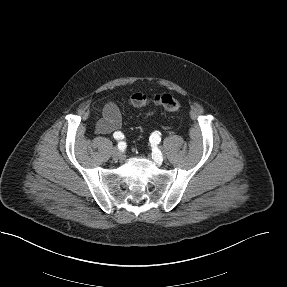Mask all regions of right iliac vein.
<instances>
[{
  "label": "right iliac vein",
  "mask_w": 287,
  "mask_h": 287,
  "mask_svg": "<svg viewBox=\"0 0 287 287\" xmlns=\"http://www.w3.org/2000/svg\"><path fill=\"white\" fill-rule=\"evenodd\" d=\"M112 157L115 160L121 159L123 157V153L118 148H114L112 150Z\"/></svg>",
  "instance_id": "obj_1"
}]
</instances>
